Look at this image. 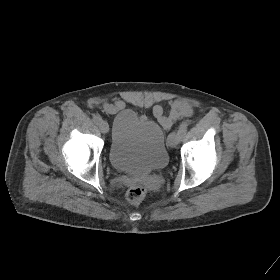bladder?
Here are the masks:
<instances>
[{"mask_svg": "<svg viewBox=\"0 0 280 280\" xmlns=\"http://www.w3.org/2000/svg\"><path fill=\"white\" fill-rule=\"evenodd\" d=\"M108 156L115 169L133 175L163 169L169 161L165 130L134 110H121L112 124Z\"/></svg>", "mask_w": 280, "mask_h": 280, "instance_id": "31cf9c89", "label": "bladder"}]
</instances>
